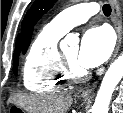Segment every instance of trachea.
Returning a JSON list of instances; mask_svg holds the SVG:
<instances>
[{
    "instance_id": "1",
    "label": "trachea",
    "mask_w": 123,
    "mask_h": 113,
    "mask_svg": "<svg viewBox=\"0 0 123 113\" xmlns=\"http://www.w3.org/2000/svg\"><path fill=\"white\" fill-rule=\"evenodd\" d=\"M103 13L106 16H109L111 14V6L109 4L103 5Z\"/></svg>"
}]
</instances>
